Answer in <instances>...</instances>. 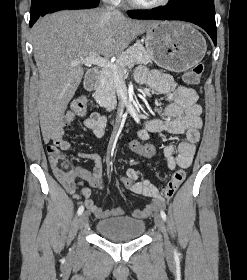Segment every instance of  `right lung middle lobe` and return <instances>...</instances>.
Segmentation results:
<instances>
[{
	"label": "right lung middle lobe",
	"instance_id": "dd1d6c3e",
	"mask_svg": "<svg viewBox=\"0 0 247 280\" xmlns=\"http://www.w3.org/2000/svg\"><path fill=\"white\" fill-rule=\"evenodd\" d=\"M58 0H32L31 10H30V18L38 16V14L48 5ZM100 1V0H94Z\"/></svg>",
	"mask_w": 247,
	"mask_h": 280
}]
</instances>
